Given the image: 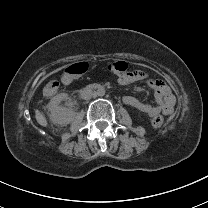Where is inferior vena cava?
<instances>
[{
  "instance_id": "obj_1",
  "label": "inferior vena cava",
  "mask_w": 208,
  "mask_h": 208,
  "mask_svg": "<svg viewBox=\"0 0 208 208\" xmlns=\"http://www.w3.org/2000/svg\"><path fill=\"white\" fill-rule=\"evenodd\" d=\"M80 95H81L82 99L89 100L93 96V91H92V89L86 87L80 91Z\"/></svg>"
}]
</instances>
